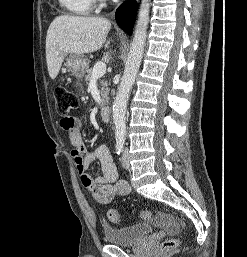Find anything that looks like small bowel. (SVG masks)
Returning <instances> with one entry per match:
<instances>
[{
  "label": "small bowel",
  "instance_id": "c3829d8e",
  "mask_svg": "<svg viewBox=\"0 0 247 257\" xmlns=\"http://www.w3.org/2000/svg\"><path fill=\"white\" fill-rule=\"evenodd\" d=\"M61 127L66 131L67 138L73 147L71 157L81 183L99 203L108 204L115 196L129 193L128 182L118 180V171L109 148L106 145H99L93 152L88 151L80 133L81 118L71 117V124L64 125L61 122ZM94 160L99 161L102 170V174L96 178H92L87 172L90 163ZM155 222L169 233H175L178 230L176 222L164 214L158 215Z\"/></svg>",
  "mask_w": 247,
  "mask_h": 257
}]
</instances>
